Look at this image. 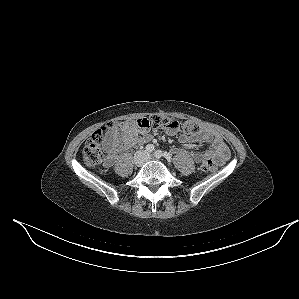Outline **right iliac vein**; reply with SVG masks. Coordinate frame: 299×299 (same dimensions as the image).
<instances>
[{"mask_svg":"<svg viewBox=\"0 0 299 299\" xmlns=\"http://www.w3.org/2000/svg\"><path fill=\"white\" fill-rule=\"evenodd\" d=\"M135 163H136V165H141V160H140V159H137V160L135 161Z\"/></svg>","mask_w":299,"mask_h":299,"instance_id":"right-iliac-vein-1","label":"right iliac vein"}]
</instances>
